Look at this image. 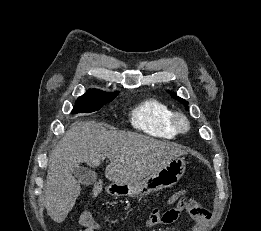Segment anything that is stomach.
<instances>
[{
	"label": "stomach",
	"mask_w": 261,
	"mask_h": 231,
	"mask_svg": "<svg viewBox=\"0 0 261 231\" xmlns=\"http://www.w3.org/2000/svg\"><path fill=\"white\" fill-rule=\"evenodd\" d=\"M186 164L184 158L177 157L170 161L159 171L151 174L145 179L129 183L109 186V192L116 196L143 197L163 188L175 185L185 173Z\"/></svg>",
	"instance_id": "1"
}]
</instances>
